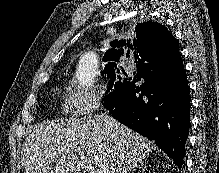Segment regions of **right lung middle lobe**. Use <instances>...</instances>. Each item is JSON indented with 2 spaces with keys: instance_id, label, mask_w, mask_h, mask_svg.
<instances>
[{
  "instance_id": "1",
  "label": "right lung middle lobe",
  "mask_w": 219,
  "mask_h": 173,
  "mask_svg": "<svg viewBox=\"0 0 219 173\" xmlns=\"http://www.w3.org/2000/svg\"><path fill=\"white\" fill-rule=\"evenodd\" d=\"M104 73L109 75V83L104 96L105 107L124 89L130 78H127L128 75L121 67L105 68V72L102 74Z\"/></svg>"
}]
</instances>
